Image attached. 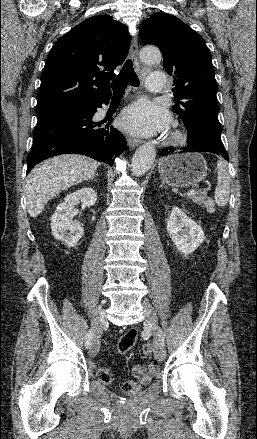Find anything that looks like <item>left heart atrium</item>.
Here are the masks:
<instances>
[{"label":"left heart atrium","instance_id":"obj_1","mask_svg":"<svg viewBox=\"0 0 257 439\" xmlns=\"http://www.w3.org/2000/svg\"><path fill=\"white\" fill-rule=\"evenodd\" d=\"M170 122L168 111L149 100H141L129 106L120 117L123 129L140 136L164 133Z\"/></svg>","mask_w":257,"mask_h":439}]
</instances>
